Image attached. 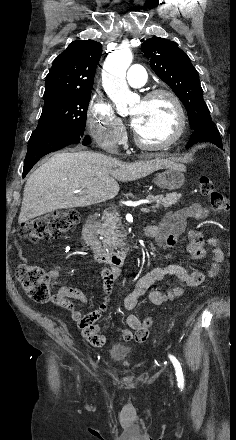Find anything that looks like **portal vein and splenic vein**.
<instances>
[{"mask_svg":"<svg viewBox=\"0 0 236 440\" xmlns=\"http://www.w3.org/2000/svg\"><path fill=\"white\" fill-rule=\"evenodd\" d=\"M78 192H80V191L77 190L76 193H78ZM140 210H141L142 212H145V213H148V212L151 211V210H150L149 208H147V207H142Z\"/></svg>","mask_w":236,"mask_h":440,"instance_id":"obj_1","label":"portal vein and splenic vein"}]
</instances>
